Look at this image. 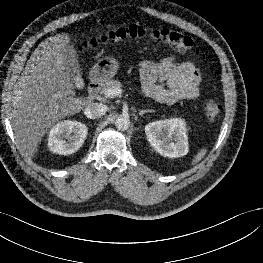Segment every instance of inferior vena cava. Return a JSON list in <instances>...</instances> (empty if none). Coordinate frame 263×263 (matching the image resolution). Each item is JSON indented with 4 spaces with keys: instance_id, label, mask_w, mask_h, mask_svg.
I'll list each match as a JSON object with an SVG mask.
<instances>
[{
    "instance_id": "inferior-vena-cava-1",
    "label": "inferior vena cava",
    "mask_w": 263,
    "mask_h": 263,
    "mask_svg": "<svg viewBox=\"0 0 263 263\" xmlns=\"http://www.w3.org/2000/svg\"><path fill=\"white\" fill-rule=\"evenodd\" d=\"M107 111V106L101 103H90L84 110L87 118L97 119L100 118Z\"/></svg>"
}]
</instances>
